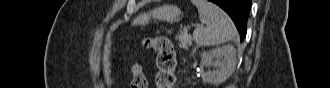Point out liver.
Wrapping results in <instances>:
<instances>
[{
  "mask_svg": "<svg viewBox=\"0 0 330 88\" xmlns=\"http://www.w3.org/2000/svg\"><path fill=\"white\" fill-rule=\"evenodd\" d=\"M148 14H140L139 17L137 18L140 21H144L148 18Z\"/></svg>",
  "mask_w": 330,
  "mask_h": 88,
  "instance_id": "1",
  "label": "liver"
}]
</instances>
